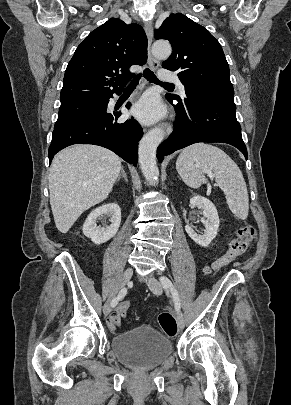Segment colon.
I'll use <instances>...</instances> for the list:
<instances>
[{
	"instance_id": "obj_1",
	"label": "colon",
	"mask_w": 291,
	"mask_h": 405,
	"mask_svg": "<svg viewBox=\"0 0 291 405\" xmlns=\"http://www.w3.org/2000/svg\"><path fill=\"white\" fill-rule=\"evenodd\" d=\"M255 230L251 225H245L235 230L234 237L231 239L228 245L227 251L218 259L213 261L207 268V273H213L221 269L222 267L230 264L238 257L242 256L249 248L253 238ZM130 302L128 300L122 301L111 315L113 320L121 321L130 309ZM158 322L161 329L169 337H174L177 334V323L174 316L167 311L161 312L158 316Z\"/></svg>"
}]
</instances>
